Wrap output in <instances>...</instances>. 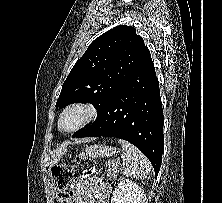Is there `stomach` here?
<instances>
[{
  "instance_id": "stomach-1",
  "label": "stomach",
  "mask_w": 222,
  "mask_h": 203,
  "mask_svg": "<svg viewBox=\"0 0 222 203\" xmlns=\"http://www.w3.org/2000/svg\"><path fill=\"white\" fill-rule=\"evenodd\" d=\"M116 153V149L111 146L93 145L87 146L85 154L87 157H110Z\"/></svg>"
}]
</instances>
